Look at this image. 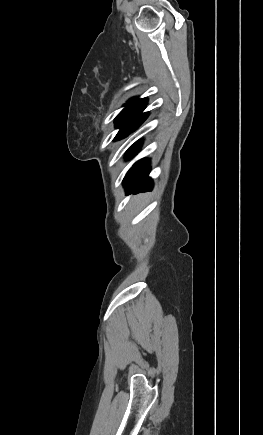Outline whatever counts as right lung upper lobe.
Listing matches in <instances>:
<instances>
[{
  "label": "right lung upper lobe",
  "mask_w": 263,
  "mask_h": 435,
  "mask_svg": "<svg viewBox=\"0 0 263 435\" xmlns=\"http://www.w3.org/2000/svg\"><path fill=\"white\" fill-rule=\"evenodd\" d=\"M146 104H147V98H142V99L133 98L128 101L127 106H146Z\"/></svg>",
  "instance_id": "obj_1"
}]
</instances>
